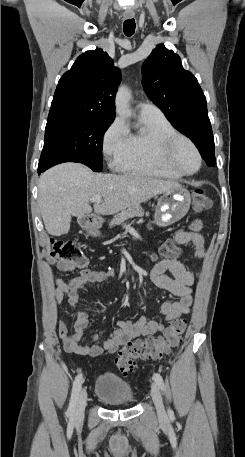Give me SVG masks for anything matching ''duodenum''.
Here are the masks:
<instances>
[{"label": "duodenum", "instance_id": "obj_1", "mask_svg": "<svg viewBox=\"0 0 245 457\" xmlns=\"http://www.w3.org/2000/svg\"><path fill=\"white\" fill-rule=\"evenodd\" d=\"M95 223V219L93 217H86L83 219L84 225H93Z\"/></svg>", "mask_w": 245, "mask_h": 457}]
</instances>
